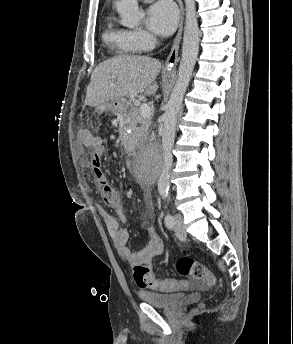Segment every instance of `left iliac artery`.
I'll use <instances>...</instances> for the list:
<instances>
[{
    "mask_svg": "<svg viewBox=\"0 0 293 344\" xmlns=\"http://www.w3.org/2000/svg\"><path fill=\"white\" fill-rule=\"evenodd\" d=\"M165 225L169 228L172 229L174 227V218L171 214L167 213L165 215Z\"/></svg>",
    "mask_w": 293,
    "mask_h": 344,
    "instance_id": "44dca946",
    "label": "left iliac artery"
}]
</instances>
